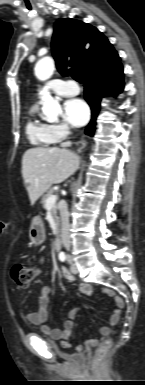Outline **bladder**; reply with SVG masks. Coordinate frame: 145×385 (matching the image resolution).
Wrapping results in <instances>:
<instances>
[{
	"label": "bladder",
	"instance_id": "bladder-1",
	"mask_svg": "<svg viewBox=\"0 0 145 385\" xmlns=\"http://www.w3.org/2000/svg\"><path fill=\"white\" fill-rule=\"evenodd\" d=\"M49 343L51 345H54V343L52 341L49 340ZM75 357H78V358H75V360L79 361V362H84L85 361V356L84 355H75Z\"/></svg>",
	"mask_w": 145,
	"mask_h": 385
}]
</instances>
